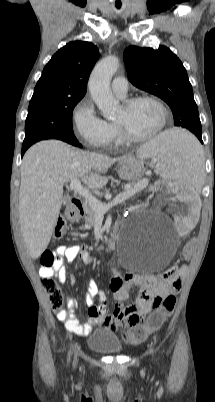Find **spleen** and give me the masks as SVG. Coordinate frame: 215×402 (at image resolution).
<instances>
[{
  "label": "spleen",
  "mask_w": 215,
  "mask_h": 402,
  "mask_svg": "<svg viewBox=\"0 0 215 402\" xmlns=\"http://www.w3.org/2000/svg\"><path fill=\"white\" fill-rule=\"evenodd\" d=\"M137 154L150 157V167L164 179L189 184L192 189L203 181L202 144L198 133H189V128H166V132L142 145Z\"/></svg>",
  "instance_id": "3e777b00"
}]
</instances>
